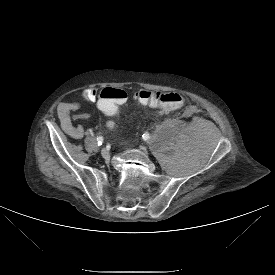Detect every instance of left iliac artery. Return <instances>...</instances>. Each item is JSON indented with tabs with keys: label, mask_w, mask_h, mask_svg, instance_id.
<instances>
[{
	"label": "left iliac artery",
	"mask_w": 275,
	"mask_h": 275,
	"mask_svg": "<svg viewBox=\"0 0 275 275\" xmlns=\"http://www.w3.org/2000/svg\"><path fill=\"white\" fill-rule=\"evenodd\" d=\"M142 137L144 140H148L150 136L148 133H144Z\"/></svg>",
	"instance_id": "1"
}]
</instances>
